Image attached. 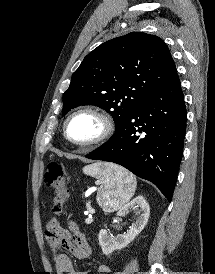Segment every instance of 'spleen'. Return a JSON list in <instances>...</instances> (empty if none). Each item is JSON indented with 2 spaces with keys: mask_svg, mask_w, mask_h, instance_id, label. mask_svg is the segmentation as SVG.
<instances>
[{
  "mask_svg": "<svg viewBox=\"0 0 215 274\" xmlns=\"http://www.w3.org/2000/svg\"><path fill=\"white\" fill-rule=\"evenodd\" d=\"M83 172L102 182L97 201L107 212L123 207L136 190L135 176L118 165L94 163L85 166Z\"/></svg>",
  "mask_w": 215,
  "mask_h": 274,
  "instance_id": "1",
  "label": "spleen"
}]
</instances>
